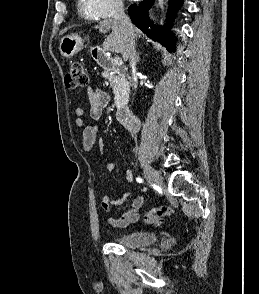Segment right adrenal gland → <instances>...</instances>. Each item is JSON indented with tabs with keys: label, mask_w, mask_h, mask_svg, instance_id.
Instances as JSON below:
<instances>
[{
	"label": "right adrenal gland",
	"mask_w": 259,
	"mask_h": 294,
	"mask_svg": "<svg viewBox=\"0 0 259 294\" xmlns=\"http://www.w3.org/2000/svg\"><path fill=\"white\" fill-rule=\"evenodd\" d=\"M137 61H139V55L137 54Z\"/></svg>",
	"instance_id": "2a0ac1e0"
}]
</instances>
